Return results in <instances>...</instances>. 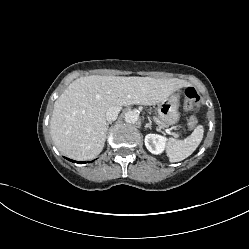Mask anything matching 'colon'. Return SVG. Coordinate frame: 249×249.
Masks as SVG:
<instances>
[{
    "mask_svg": "<svg viewBox=\"0 0 249 249\" xmlns=\"http://www.w3.org/2000/svg\"><path fill=\"white\" fill-rule=\"evenodd\" d=\"M184 108L191 113L188 120V126L190 129H193L198 122L197 113L200 108V96L192 87L185 90Z\"/></svg>",
    "mask_w": 249,
    "mask_h": 249,
    "instance_id": "5ec220e1",
    "label": "colon"
}]
</instances>
